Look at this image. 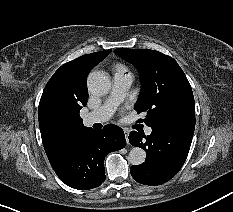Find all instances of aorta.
<instances>
[{"label": "aorta", "instance_id": "obj_1", "mask_svg": "<svg viewBox=\"0 0 233 212\" xmlns=\"http://www.w3.org/2000/svg\"><path fill=\"white\" fill-rule=\"evenodd\" d=\"M88 90L96 95H102L109 92L111 81L109 76L103 71H94L89 74L87 79ZM146 153L140 147H133L129 154L128 160L132 165H140L145 161Z\"/></svg>", "mask_w": 233, "mask_h": 212}]
</instances>
